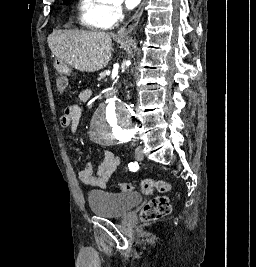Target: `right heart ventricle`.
Listing matches in <instances>:
<instances>
[{
	"label": "right heart ventricle",
	"instance_id": "1",
	"mask_svg": "<svg viewBox=\"0 0 256 267\" xmlns=\"http://www.w3.org/2000/svg\"><path fill=\"white\" fill-rule=\"evenodd\" d=\"M85 7L89 12L88 19L84 22V24L88 28H100L98 26V20L101 15V10L104 8H109L111 5L110 0H88L84 2ZM71 28V27H65Z\"/></svg>",
	"mask_w": 256,
	"mask_h": 267
}]
</instances>
